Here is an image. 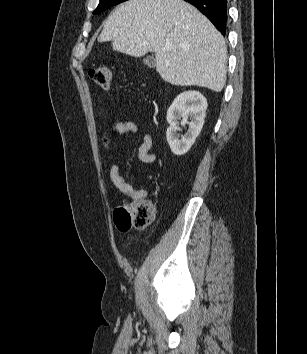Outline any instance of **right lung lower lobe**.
<instances>
[{
	"label": "right lung lower lobe",
	"mask_w": 307,
	"mask_h": 354,
	"mask_svg": "<svg viewBox=\"0 0 307 354\" xmlns=\"http://www.w3.org/2000/svg\"><path fill=\"white\" fill-rule=\"evenodd\" d=\"M200 10L223 34H226L228 20L227 0H185Z\"/></svg>",
	"instance_id": "right-lung-lower-lobe-1"
}]
</instances>
